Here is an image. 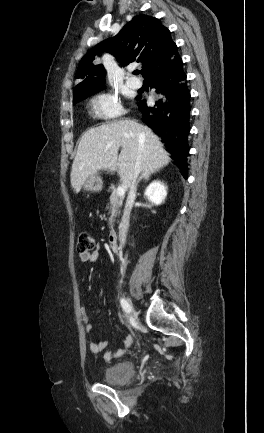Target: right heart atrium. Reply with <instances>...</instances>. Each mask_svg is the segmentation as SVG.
<instances>
[{"instance_id":"right-heart-atrium-1","label":"right heart atrium","mask_w":264,"mask_h":433,"mask_svg":"<svg viewBox=\"0 0 264 433\" xmlns=\"http://www.w3.org/2000/svg\"><path fill=\"white\" fill-rule=\"evenodd\" d=\"M94 117L102 120H110L122 115L123 108L117 96L112 93H98L90 103Z\"/></svg>"}]
</instances>
